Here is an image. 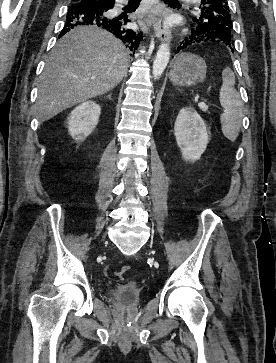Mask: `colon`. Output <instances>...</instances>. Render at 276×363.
<instances>
[{
    "instance_id": "obj_1",
    "label": "colon",
    "mask_w": 276,
    "mask_h": 363,
    "mask_svg": "<svg viewBox=\"0 0 276 363\" xmlns=\"http://www.w3.org/2000/svg\"><path fill=\"white\" fill-rule=\"evenodd\" d=\"M130 270L129 266H124L120 269V271L118 272L119 275H123L125 273H127Z\"/></svg>"
}]
</instances>
